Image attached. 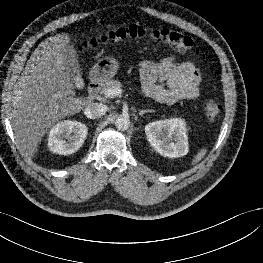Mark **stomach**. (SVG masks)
<instances>
[{
	"mask_svg": "<svg viewBox=\"0 0 263 263\" xmlns=\"http://www.w3.org/2000/svg\"><path fill=\"white\" fill-rule=\"evenodd\" d=\"M118 68L119 64L114 58H102L93 66L90 79L94 82H105L116 75Z\"/></svg>",
	"mask_w": 263,
	"mask_h": 263,
	"instance_id": "1",
	"label": "stomach"
}]
</instances>
